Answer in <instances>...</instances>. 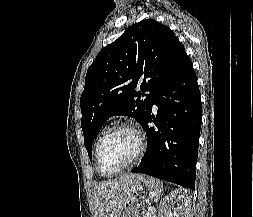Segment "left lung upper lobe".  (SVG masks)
I'll return each mask as SVG.
<instances>
[{
    "label": "left lung upper lobe",
    "mask_w": 253,
    "mask_h": 217,
    "mask_svg": "<svg viewBox=\"0 0 253 217\" xmlns=\"http://www.w3.org/2000/svg\"><path fill=\"white\" fill-rule=\"evenodd\" d=\"M185 53L173 31L154 19L130 26L98 53L88 68L80 99L81 127L90 160L92 142L105 121L127 115L141 124L155 91ZM146 91L150 94L142 99Z\"/></svg>",
    "instance_id": "1"
}]
</instances>
